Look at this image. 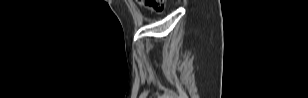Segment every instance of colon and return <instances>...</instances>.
Here are the masks:
<instances>
[{
	"mask_svg": "<svg viewBox=\"0 0 308 98\" xmlns=\"http://www.w3.org/2000/svg\"><path fill=\"white\" fill-rule=\"evenodd\" d=\"M138 2L158 13L162 12L164 9V3L162 0H139Z\"/></svg>",
	"mask_w": 308,
	"mask_h": 98,
	"instance_id": "1",
	"label": "colon"
}]
</instances>
